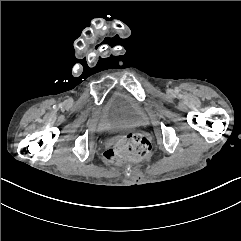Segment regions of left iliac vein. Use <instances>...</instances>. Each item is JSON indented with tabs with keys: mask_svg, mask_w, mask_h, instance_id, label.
I'll list each match as a JSON object with an SVG mask.
<instances>
[{
	"mask_svg": "<svg viewBox=\"0 0 241 241\" xmlns=\"http://www.w3.org/2000/svg\"><path fill=\"white\" fill-rule=\"evenodd\" d=\"M168 92L172 93V92H173V90H172V89H169V90H168Z\"/></svg>",
	"mask_w": 241,
	"mask_h": 241,
	"instance_id": "1",
	"label": "left iliac vein"
}]
</instances>
